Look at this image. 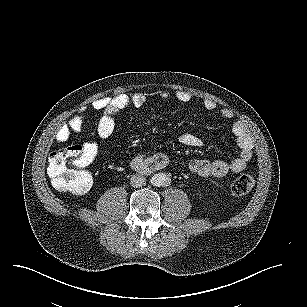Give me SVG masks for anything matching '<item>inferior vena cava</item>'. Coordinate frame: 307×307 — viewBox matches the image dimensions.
<instances>
[{
	"mask_svg": "<svg viewBox=\"0 0 307 307\" xmlns=\"http://www.w3.org/2000/svg\"><path fill=\"white\" fill-rule=\"evenodd\" d=\"M146 182V178L140 174H133L130 177V185L134 188L142 187Z\"/></svg>",
	"mask_w": 307,
	"mask_h": 307,
	"instance_id": "602c4592",
	"label": "inferior vena cava"
}]
</instances>
